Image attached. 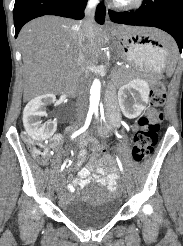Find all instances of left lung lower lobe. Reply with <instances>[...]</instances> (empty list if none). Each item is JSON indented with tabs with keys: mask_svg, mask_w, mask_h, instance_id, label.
<instances>
[{
	"mask_svg": "<svg viewBox=\"0 0 183 246\" xmlns=\"http://www.w3.org/2000/svg\"><path fill=\"white\" fill-rule=\"evenodd\" d=\"M109 16L115 23L162 29L173 36L182 51L183 0H144L136 11H109Z\"/></svg>",
	"mask_w": 183,
	"mask_h": 246,
	"instance_id": "obj_1",
	"label": "left lung lower lobe"
}]
</instances>
